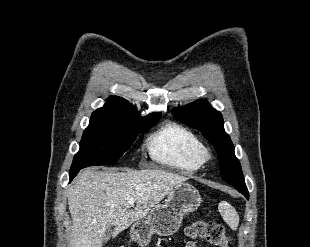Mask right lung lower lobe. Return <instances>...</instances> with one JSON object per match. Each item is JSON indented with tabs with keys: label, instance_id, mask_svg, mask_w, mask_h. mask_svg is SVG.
Here are the masks:
<instances>
[{
	"label": "right lung lower lobe",
	"instance_id": "right-lung-lower-lobe-1",
	"mask_svg": "<svg viewBox=\"0 0 310 247\" xmlns=\"http://www.w3.org/2000/svg\"><path fill=\"white\" fill-rule=\"evenodd\" d=\"M79 171H80V169L70 171V182H71L72 179L77 175V173H78Z\"/></svg>",
	"mask_w": 310,
	"mask_h": 247
}]
</instances>
